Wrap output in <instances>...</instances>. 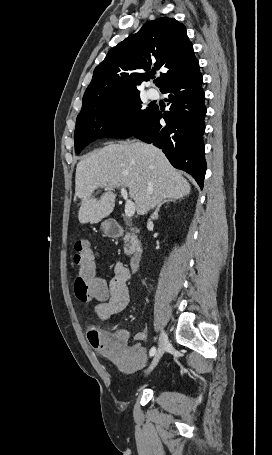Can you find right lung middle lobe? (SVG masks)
Masks as SVG:
<instances>
[{"instance_id":"right-lung-middle-lobe-1","label":"right lung middle lobe","mask_w":272,"mask_h":455,"mask_svg":"<svg viewBox=\"0 0 272 455\" xmlns=\"http://www.w3.org/2000/svg\"><path fill=\"white\" fill-rule=\"evenodd\" d=\"M141 103L140 95L137 94L79 113L74 133L76 153L79 154L99 138L131 137L156 108H143Z\"/></svg>"}]
</instances>
